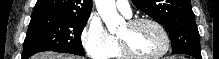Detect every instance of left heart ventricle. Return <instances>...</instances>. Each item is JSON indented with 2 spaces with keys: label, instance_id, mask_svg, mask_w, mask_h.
<instances>
[{
  "label": "left heart ventricle",
  "instance_id": "obj_1",
  "mask_svg": "<svg viewBox=\"0 0 219 59\" xmlns=\"http://www.w3.org/2000/svg\"><path fill=\"white\" fill-rule=\"evenodd\" d=\"M136 55L151 56L163 48L164 40L160 32L151 24L131 27L126 24L117 34Z\"/></svg>",
  "mask_w": 219,
  "mask_h": 59
}]
</instances>
